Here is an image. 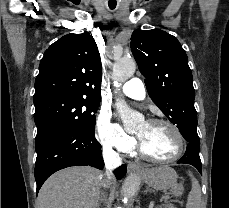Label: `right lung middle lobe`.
<instances>
[{"mask_svg":"<svg viewBox=\"0 0 229 208\" xmlns=\"http://www.w3.org/2000/svg\"><path fill=\"white\" fill-rule=\"evenodd\" d=\"M37 126L35 142L64 127L94 133L95 113L100 101L71 95H51L34 101Z\"/></svg>","mask_w":229,"mask_h":208,"instance_id":"1","label":"right lung middle lobe"}]
</instances>
